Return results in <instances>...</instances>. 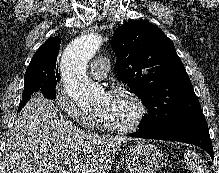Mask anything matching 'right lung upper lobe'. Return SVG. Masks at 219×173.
<instances>
[{
  "label": "right lung upper lobe",
  "instance_id": "right-lung-upper-lobe-1",
  "mask_svg": "<svg viewBox=\"0 0 219 173\" xmlns=\"http://www.w3.org/2000/svg\"><path fill=\"white\" fill-rule=\"evenodd\" d=\"M60 44L61 40L59 37L49 38L34 54L29 66L43 67L46 70H55L60 78L58 67H56Z\"/></svg>",
  "mask_w": 219,
  "mask_h": 173
}]
</instances>
